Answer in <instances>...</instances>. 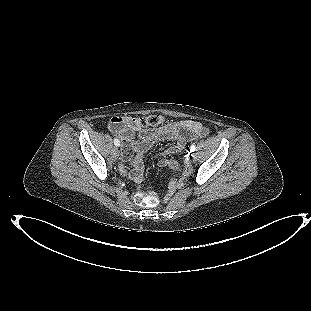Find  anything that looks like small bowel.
Listing matches in <instances>:
<instances>
[{"instance_id":"small-bowel-1","label":"small bowel","mask_w":311,"mask_h":311,"mask_svg":"<svg viewBox=\"0 0 311 311\" xmlns=\"http://www.w3.org/2000/svg\"><path fill=\"white\" fill-rule=\"evenodd\" d=\"M115 123H119V126L116 127ZM108 128L125 143L121 159L132 161L131 178L136 183H141L143 180V158L152 144L164 140L175 141L173 145L157 155L163 157L181 152L189 141L206 134V129L200 122L190 119L168 123L156 129H146L141 125L140 118L116 116L111 118ZM135 132L139 133L138 140H134ZM160 164L163 166L171 164L174 169H177V164L172 160L162 159Z\"/></svg>"}]
</instances>
